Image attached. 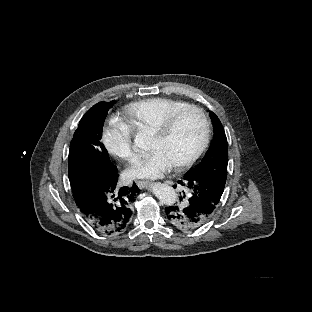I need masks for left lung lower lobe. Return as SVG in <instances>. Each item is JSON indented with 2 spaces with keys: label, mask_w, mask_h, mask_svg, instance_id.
I'll return each mask as SVG.
<instances>
[{
  "label": "left lung lower lobe",
  "mask_w": 312,
  "mask_h": 312,
  "mask_svg": "<svg viewBox=\"0 0 312 312\" xmlns=\"http://www.w3.org/2000/svg\"><path fill=\"white\" fill-rule=\"evenodd\" d=\"M226 177V171L214 170L179 181V184L189 188L191 197L184 207H167L165 211L168 220L182 229L189 230L208 222L218 209Z\"/></svg>",
  "instance_id": "0a47b994"
}]
</instances>
